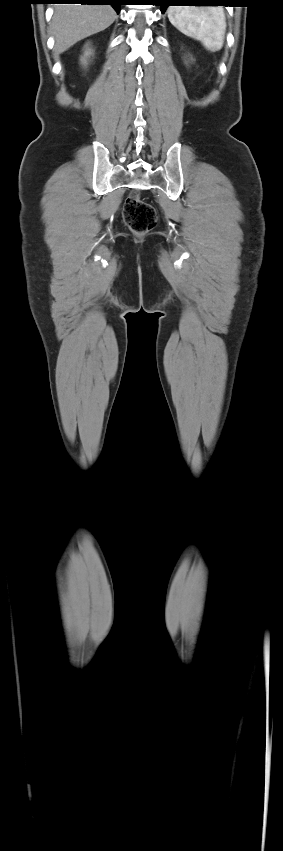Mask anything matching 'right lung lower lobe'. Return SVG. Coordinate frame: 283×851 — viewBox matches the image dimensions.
I'll return each instance as SVG.
<instances>
[{
    "instance_id": "obj_1",
    "label": "right lung lower lobe",
    "mask_w": 283,
    "mask_h": 851,
    "mask_svg": "<svg viewBox=\"0 0 283 851\" xmlns=\"http://www.w3.org/2000/svg\"><path fill=\"white\" fill-rule=\"evenodd\" d=\"M122 0H47L46 3L51 4H59V3H77V4H87V5H111L115 11L119 12V7L122 4Z\"/></svg>"
}]
</instances>
